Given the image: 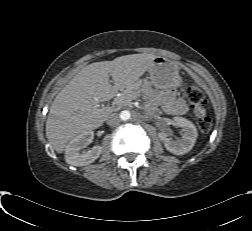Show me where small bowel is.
I'll use <instances>...</instances> for the list:
<instances>
[{"instance_id": "1", "label": "small bowel", "mask_w": 252, "mask_h": 231, "mask_svg": "<svg viewBox=\"0 0 252 231\" xmlns=\"http://www.w3.org/2000/svg\"><path fill=\"white\" fill-rule=\"evenodd\" d=\"M165 108L172 113L175 114H183L187 111V107L185 106L183 100L177 99L174 102H169L165 104ZM206 111L202 107H198L195 109L194 114L197 118L204 117Z\"/></svg>"}]
</instances>
